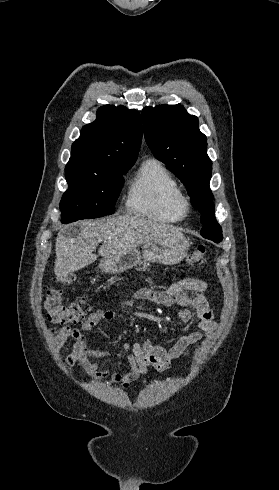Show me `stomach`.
<instances>
[{
  "instance_id": "1",
  "label": "stomach",
  "mask_w": 279,
  "mask_h": 490,
  "mask_svg": "<svg viewBox=\"0 0 279 490\" xmlns=\"http://www.w3.org/2000/svg\"><path fill=\"white\" fill-rule=\"evenodd\" d=\"M188 248L189 244L184 236L170 238V240H153V242L143 244L141 252L130 250L114 258H103L99 268L101 272H107V274H121V272L134 268L141 260L175 266L184 260Z\"/></svg>"
}]
</instances>
